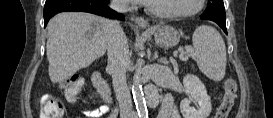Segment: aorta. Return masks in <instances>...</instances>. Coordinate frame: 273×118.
Instances as JSON below:
<instances>
[{
	"label": "aorta",
	"mask_w": 273,
	"mask_h": 118,
	"mask_svg": "<svg viewBox=\"0 0 273 118\" xmlns=\"http://www.w3.org/2000/svg\"><path fill=\"white\" fill-rule=\"evenodd\" d=\"M142 64H143V59L138 58V60L136 62V65H135L136 71H135V75H134V78H133V89H132L133 98H134L136 108H137V111H138L139 115H144V114L147 113V106H146L144 94H143V91H142V85H141V82H142V78H141Z\"/></svg>",
	"instance_id": "762f6f07"
}]
</instances>
